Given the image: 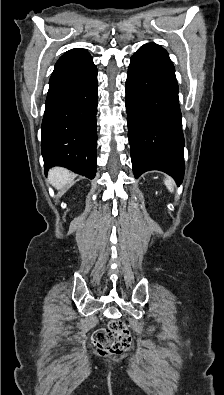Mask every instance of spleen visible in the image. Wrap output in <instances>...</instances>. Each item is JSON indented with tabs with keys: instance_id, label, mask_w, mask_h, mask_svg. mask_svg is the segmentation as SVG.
Returning <instances> with one entry per match:
<instances>
[{
	"instance_id": "1",
	"label": "spleen",
	"mask_w": 224,
	"mask_h": 395,
	"mask_svg": "<svg viewBox=\"0 0 224 395\" xmlns=\"http://www.w3.org/2000/svg\"><path fill=\"white\" fill-rule=\"evenodd\" d=\"M164 183L170 192L174 191V181L170 177H166Z\"/></svg>"
}]
</instances>
